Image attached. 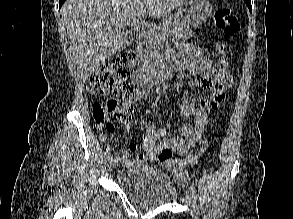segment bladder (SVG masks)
I'll return each instance as SVG.
<instances>
[{"mask_svg":"<svg viewBox=\"0 0 293 219\" xmlns=\"http://www.w3.org/2000/svg\"><path fill=\"white\" fill-rule=\"evenodd\" d=\"M117 184L135 204L156 208L172 203L178 191L171 179L150 165L130 166L117 174Z\"/></svg>","mask_w":293,"mask_h":219,"instance_id":"31cf9c89","label":"bladder"}]
</instances>
